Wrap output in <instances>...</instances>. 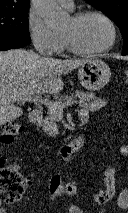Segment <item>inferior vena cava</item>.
Wrapping results in <instances>:
<instances>
[{
  "instance_id": "1",
  "label": "inferior vena cava",
  "mask_w": 128,
  "mask_h": 213,
  "mask_svg": "<svg viewBox=\"0 0 128 213\" xmlns=\"http://www.w3.org/2000/svg\"><path fill=\"white\" fill-rule=\"evenodd\" d=\"M37 48H38L39 52H40L41 54H43V51H44L43 46L38 45Z\"/></svg>"
}]
</instances>
